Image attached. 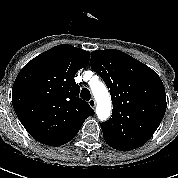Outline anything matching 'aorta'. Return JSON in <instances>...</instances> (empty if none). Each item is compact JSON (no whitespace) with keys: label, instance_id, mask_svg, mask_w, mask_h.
Masks as SVG:
<instances>
[{"label":"aorta","instance_id":"1","mask_svg":"<svg viewBox=\"0 0 178 178\" xmlns=\"http://www.w3.org/2000/svg\"><path fill=\"white\" fill-rule=\"evenodd\" d=\"M93 96L97 102L96 113L101 121L109 118L111 113V98L105 84L95 81L90 85Z\"/></svg>","mask_w":178,"mask_h":178}]
</instances>
